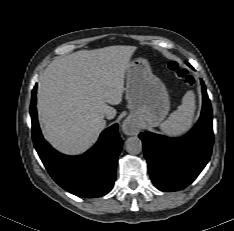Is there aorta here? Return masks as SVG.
Segmentation results:
<instances>
[{
	"instance_id": "obj_1",
	"label": "aorta",
	"mask_w": 234,
	"mask_h": 231,
	"mask_svg": "<svg viewBox=\"0 0 234 231\" xmlns=\"http://www.w3.org/2000/svg\"><path fill=\"white\" fill-rule=\"evenodd\" d=\"M125 149L130 154H139L143 149L142 141L137 136L129 137L125 141Z\"/></svg>"
}]
</instances>
